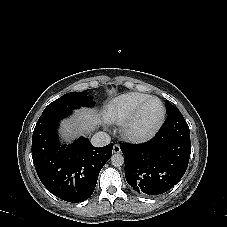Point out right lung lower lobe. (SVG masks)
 <instances>
[{"label":"right lung lower lobe","instance_id":"right-lung-lower-lobe-1","mask_svg":"<svg viewBox=\"0 0 227 227\" xmlns=\"http://www.w3.org/2000/svg\"><path fill=\"white\" fill-rule=\"evenodd\" d=\"M70 113L40 116L32 136V158L39 179L52 194L78 203L94 192L100 170L112 155L113 143L97 148L80 137L73 144L60 145L59 121Z\"/></svg>","mask_w":227,"mask_h":227}]
</instances>
